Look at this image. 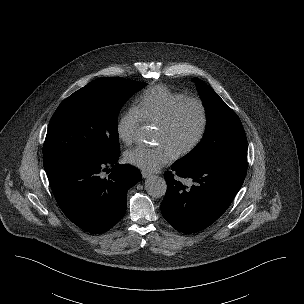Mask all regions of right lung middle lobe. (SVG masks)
<instances>
[{
    "label": "right lung middle lobe",
    "instance_id": "dd1d6c3e",
    "mask_svg": "<svg viewBox=\"0 0 304 304\" xmlns=\"http://www.w3.org/2000/svg\"><path fill=\"white\" fill-rule=\"evenodd\" d=\"M146 85L105 77L66 98L49 123L43 163L67 157L106 159L119 155L118 113L127 99Z\"/></svg>",
    "mask_w": 304,
    "mask_h": 304
}]
</instances>
